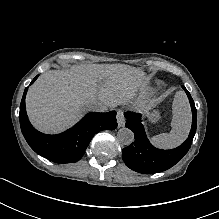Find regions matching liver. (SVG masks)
Returning <instances> with one entry per match:
<instances>
[{
  "label": "liver",
  "mask_w": 219,
  "mask_h": 219,
  "mask_svg": "<svg viewBox=\"0 0 219 219\" xmlns=\"http://www.w3.org/2000/svg\"><path fill=\"white\" fill-rule=\"evenodd\" d=\"M146 84L144 72L124 64L49 70L29 88L26 110L39 131L60 133L75 125L93 102H108L111 107L125 104ZM136 105L145 106L141 100Z\"/></svg>",
  "instance_id": "6515ba94"
}]
</instances>
